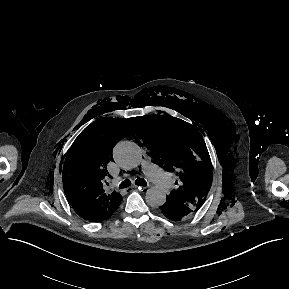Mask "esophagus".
Instances as JSON below:
<instances>
[{"label": "esophagus", "mask_w": 289, "mask_h": 289, "mask_svg": "<svg viewBox=\"0 0 289 289\" xmlns=\"http://www.w3.org/2000/svg\"><path fill=\"white\" fill-rule=\"evenodd\" d=\"M133 188H138L139 190L144 191V190L147 189L148 187H147V186H136V185H134Z\"/></svg>", "instance_id": "1"}]
</instances>
